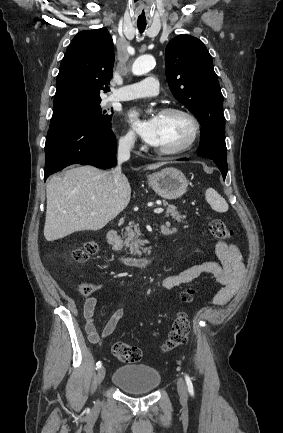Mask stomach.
Returning <instances> with one entry per match:
<instances>
[{
    "label": "stomach",
    "mask_w": 283,
    "mask_h": 433,
    "mask_svg": "<svg viewBox=\"0 0 283 433\" xmlns=\"http://www.w3.org/2000/svg\"><path fill=\"white\" fill-rule=\"evenodd\" d=\"M148 182L159 196H163L167 200L180 198L188 186L185 174L178 168H171V166L148 174Z\"/></svg>",
    "instance_id": "0dacf381"
}]
</instances>
